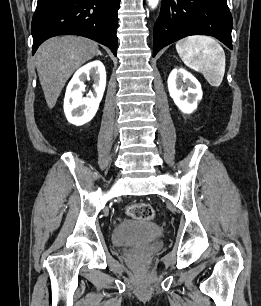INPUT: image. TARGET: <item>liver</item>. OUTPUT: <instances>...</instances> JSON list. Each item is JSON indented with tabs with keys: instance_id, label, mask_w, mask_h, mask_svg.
Wrapping results in <instances>:
<instances>
[{
	"instance_id": "1",
	"label": "liver",
	"mask_w": 261,
	"mask_h": 306,
	"mask_svg": "<svg viewBox=\"0 0 261 306\" xmlns=\"http://www.w3.org/2000/svg\"><path fill=\"white\" fill-rule=\"evenodd\" d=\"M99 53L96 42L73 35L50 38L38 48L36 68L49 108L55 106L74 71Z\"/></svg>"
}]
</instances>
